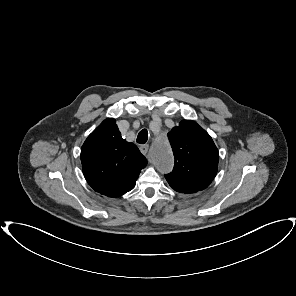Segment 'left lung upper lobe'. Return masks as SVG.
Masks as SVG:
<instances>
[{
    "label": "left lung upper lobe",
    "instance_id": "left-lung-upper-lobe-1",
    "mask_svg": "<svg viewBox=\"0 0 296 296\" xmlns=\"http://www.w3.org/2000/svg\"><path fill=\"white\" fill-rule=\"evenodd\" d=\"M168 138L175 157L173 171L165 175L169 185L183 194L207 188L217 173L219 161L210 135L196 122L183 120L168 133Z\"/></svg>",
    "mask_w": 296,
    "mask_h": 296
}]
</instances>
